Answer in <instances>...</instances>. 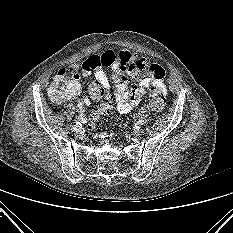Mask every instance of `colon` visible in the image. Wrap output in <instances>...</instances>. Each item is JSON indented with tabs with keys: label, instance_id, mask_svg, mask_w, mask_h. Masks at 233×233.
Returning <instances> with one entry per match:
<instances>
[{
	"label": "colon",
	"instance_id": "colon-1",
	"mask_svg": "<svg viewBox=\"0 0 233 233\" xmlns=\"http://www.w3.org/2000/svg\"><path fill=\"white\" fill-rule=\"evenodd\" d=\"M89 95L92 99L100 101L96 111L89 119V125L93 126L103 114L109 112L113 107L111 96L107 93L106 88L99 82L95 81L89 84ZM48 94L55 102H63L72 95L71 79L66 72H58L55 76ZM150 107L155 111H161L165 107V95L162 89L154 86L149 94Z\"/></svg>",
	"mask_w": 233,
	"mask_h": 233
}]
</instances>
